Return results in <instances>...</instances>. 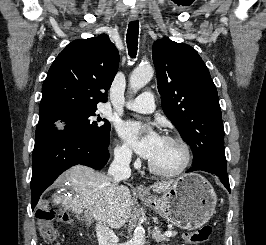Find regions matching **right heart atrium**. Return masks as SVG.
I'll list each match as a JSON object with an SVG mask.
<instances>
[{"mask_svg": "<svg viewBox=\"0 0 266 245\" xmlns=\"http://www.w3.org/2000/svg\"><path fill=\"white\" fill-rule=\"evenodd\" d=\"M114 157L121 163H130L133 160V153L128 145L117 144L114 148Z\"/></svg>", "mask_w": 266, "mask_h": 245, "instance_id": "d8ad5b80", "label": "right heart atrium"}]
</instances>
